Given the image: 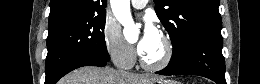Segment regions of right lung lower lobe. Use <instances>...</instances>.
<instances>
[{
    "instance_id": "1",
    "label": "right lung lower lobe",
    "mask_w": 260,
    "mask_h": 84,
    "mask_svg": "<svg viewBox=\"0 0 260 84\" xmlns=\"http://www.w3.org/2000/svg\"><path fill=\"white\" fill-rule=\"evenodd\" d=\"M107 62L101 61L98 59H92V58H86L77 60L73 63L68 64L66 67H64L59 74L50 82L45 80V84H55L61 77H63L65 74L69 73L70 71L82 67V66H105Z\"/></svg>"
}]
</instances>
